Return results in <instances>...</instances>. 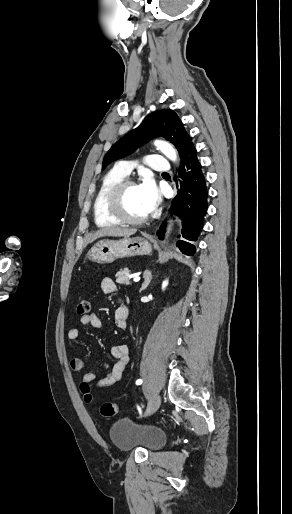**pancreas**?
Here are the masks:
<instances>
[{
    "label": "pancreas",
    "mask_w": 292,
    "mask_h": 514,
    "mask_svg": "<svg viewBox=\"0 0 292 514\" xmlns=\"http://www.w3.org/2000/svg\"><path fill=\"white\" fill-rule=\"evenodd\" d=\"M130 274V270L128 268H124V270H120L116 274V282L117 284H125V286H130V278H128Z\"/></svg>",
    "instance_id": "cf45deb5"
}]
</instances>
